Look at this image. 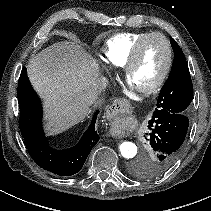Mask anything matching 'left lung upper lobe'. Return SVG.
Returning a JSON list of instances; mask_svg holds the SVG:
<instances>
[{"label":"left lung upper lobe","instance_id":"1","mask_svg":"<svg viewBox=\"0 0 211 211\" xmlns=\"http://www.w3.org/2000/svg\"><path fill=\"white\" fill-rule=\"evenodd\" d=\"M170 43L174 51L173 65L160 91L153 115L164 112L187 115L193 99V86L184 53L173 38H170ZM150 161L151 159L143 169L147 176H150L148 167Z\"/></svg>","mask_w":211,"mask_h":211}]
</instances>
